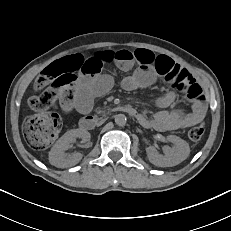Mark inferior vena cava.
Listing matches in <instances>:
<instances>
[{
  "label": "inferior vena cava",
  "instance_id": "inferior-vena-cava-1",
  "mask_svg": "<svg viewBox=\"0 0 231 231\" xmlns=\"http://www.w3.org/2000/svg\"><path fill=\"white\" fill-rule=\"evenodd\" d=\"M109 120L108 116H105L104 118H101L100 121L97 123V127L99 128L100 126H102L106 121Z\"/></svg>",
  "mask_w": 231,
  "mask_h": 231
}]
</instances>
